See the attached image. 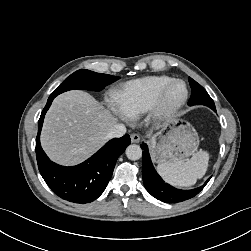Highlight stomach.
I'll list each match as a JSON object with an SVG mask.
<instances>
[{
	"label": "stomach",
	"instance_id": "stomach-1",
	"mask_svg": "<svg viewBox=\"0 0 251 251\" xmlns=\"http://www.w3.org/2000/svg\"><path fill=\"white\" fill-rule=\"evenodd\" d=\"M198 145V134L182 119L168 122L150 139L152 157L157 163L182 161L194 154Z\"/></svg>",
	"mask_w": 251,
	"mask_h": 251
}]
</instances>
